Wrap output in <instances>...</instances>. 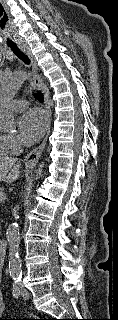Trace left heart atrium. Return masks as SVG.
<instances>
[{
  "mask_svg": "<svg viewBox=\"0 0 118 320\" xmlns=\"http://www.w3.org/2000/svg\"><path fill=\"white\" fill-rule=\"evenodd\" d=\"M48 127V118L37 108L28 110L19 120V130L27 143L37 141Z\"/></svg>",
  "mask_w": 118,
  "mask_h": 320,
  "instance_id": "left-heart-atrium-1",
  "label": "left heart atrium"
}]
</instances>
